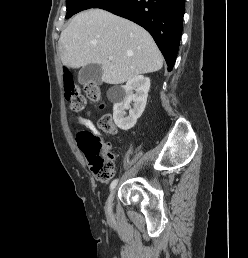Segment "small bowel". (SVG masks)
Segmentation results:
<instances>
[{
  "label": "small bowel",
  "mask_w": 248,
  "mask_h": 258,
  "mask_svg": "<svg viewBox=\"0 0 248 258\" xmlns=\"http://www.w3.org/2000/svg\"><path fill=\"white\" fill-rule=\"evenodd\" d=\"M89 115H90V112L87 111V116H89ZM81 123H82V125L85 126L88 130H91V131L97 133L96 127H95L94 123H93L90 119H88V118L83 119V120L81 121Z\"/></svg>",
  "instance_id": "c3829d8e"
}]
</instances>
